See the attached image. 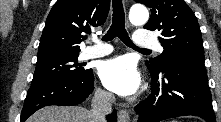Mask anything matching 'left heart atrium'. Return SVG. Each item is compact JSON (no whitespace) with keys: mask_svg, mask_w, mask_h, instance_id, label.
<instances>
[{"mask_svg":"<svg viewBox=\"0 0 221 122\" xmlns=\"http://www.w3.org/2000/svg\"><path fill=\"white\" fill-rule=\"evenodd\" d=\"M98 73L108 90L122 96L134 94L140 86V76L136 66L127 56L104 61Z\"/></svg>","mask_w":221,"mask_h":122,"instance_id":"left-heart-atrium-1","label":"left heart atrium"}]
</instances>
